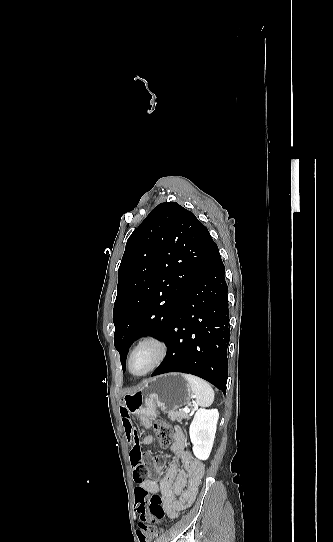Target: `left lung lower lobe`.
Wrapping results in <instances>:
<instances>
[{
  "label": "left lung lower lobe",
  "instance_id": "1",
  "mask_svg": "<svg viewBox=\"0 0 333 542\" xmlns=\"http://www.w3.org/2000/svg\"><path fill=\"white\" fill-rule=\"evenodd\" d=\"M224 271L218 247L213 242L164 340L166 357L152 376L169 372L193 374L225 393L230 329Z\"/></svg>",
  "mask_w": 333,
  "mask_h": 542
}]
</instances>
